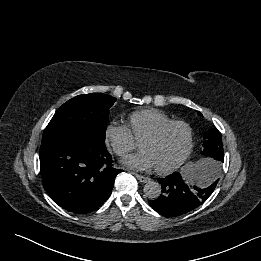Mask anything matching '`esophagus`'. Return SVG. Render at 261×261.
<instances>
[{
  "label": "esophagus",
  "instance_id": "esophagus-1",
  "mask_svg": "<svg viewBox=\"0 0 261 261\" xmlns=\"http://www.w3.org/2000/svg\"><path fill=\"white\" fill-rule=\"evenodd\" d=\"M136 178L142 182V183H147L150 181V178L149 177H146V176H142V175H139V174H135Z\"/></svg>",
  "mask_w": 261,
  "mask_h": 261
}]
</instances>
